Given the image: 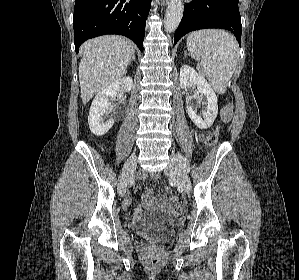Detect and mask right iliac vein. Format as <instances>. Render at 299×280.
Returning a JSON list of instances; mask_svg holds the SVG:
<instances>
[{"label": "right iliac vein", "mask_w": 299, "mask_h": 280, "mask_svg": "<svg viewBox=\"0 0 299 280\" xmlns=\"http://www.w3.org/2000/svg\"><path fill=\"white\" fill-rule=\"evenodd\" d=\"M137 165V157L136 155L131 156L126 163L124 164L123 167V176L122 179L120 180L119 184H118V193L120 196H124L126 193V189H127V182H128V177L129 174L131 172H133V170L135 169Z\"/></svg>", "instance_id": "obj_1"}]
</instances>
